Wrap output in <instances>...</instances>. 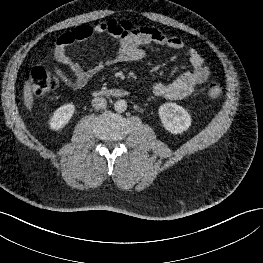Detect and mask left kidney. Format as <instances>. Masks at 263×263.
<instances>
[{
  "mask_svg": "<svg viewBox=\"0 0 263 263\" xmlns=\"http://www.w3.org/2000/svg\"><path fill=\"white\" fill-rule=\"evenodd\" d=\"M159 116L164 128L173 134L186 131L191 125L189 113L176 103H165L159 108Z\"/></svg>",
  "mask_w": 263,
  "mask_h": 263,
  "instance_id": "left-kidney-1",
  "label": "left kidney"
}]
</instances>
